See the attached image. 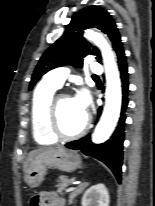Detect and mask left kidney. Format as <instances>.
<instances>
[{
	"label": "left kidney",
	"mask_w": 155,
	"mask_h": 206,
	"mask_svg": "<svg viewBox=\"0 0 155 206\" xmlns=\"http://www.w3.org/2000/svg\"><path fill=\"white\" fill-rule=\"evenodd\" d=\"M109 193L102 183L91 186L82 197V206H109Z\"/></svg>",
	"instance_id": "left-kidney-1"
}]
</instances>
